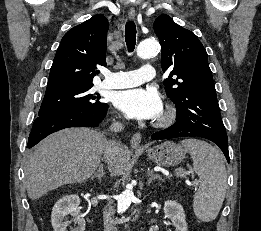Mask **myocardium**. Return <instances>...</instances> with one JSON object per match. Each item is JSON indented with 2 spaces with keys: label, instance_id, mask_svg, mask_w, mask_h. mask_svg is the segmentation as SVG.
Returning a JSON list of instances; mask_svg holds the SVG:
<instances>
[{
  "label": "myocardium",
  "instance_id": "1",
  "mask_svg": "<svg viewBox=\"0 0 261 231\" xmlns=\"http://www.w3.org/2000/svg\"><path fill=\"white\" fill-rule=\"evenodd\" d=\"M177 116V110L172 104H166L160 115L154 120L153 125L157 128H165L173 124Z\"/></svg>",
  "mask_w": 261,
  "mask_h": 231
}]
</instances>
